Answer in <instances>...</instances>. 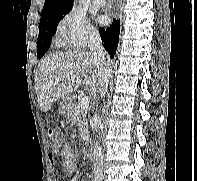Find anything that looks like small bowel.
I'll return each instance as SVG.
<instances>
[{
    "label": "small bowel",
    "instance_id": "obj_1",
    "mask_svg": "<svg viewBox=\"0 0 197 181\" xmlns=\"http://www.w3.org/2000/svg\"><path fill=\"white\" fill-rule=\"evenodd\" d=\"M59 155L62 158V171L66 175H71L77 169L76 157L69 145H64L61 150L51 151L49 154V162L52 168L56 167V156Z\"/></svg>",
    "mask_w": 197,
    "mask_h": 181
}]
</instances>
